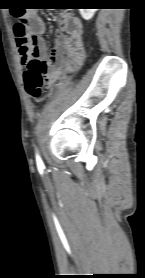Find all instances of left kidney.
Here are the masks:
<instances>
[{"mask_svg":"<svg viewBox=\"0 0 145 278\" xmlns=\"http://www.w3.org/2000/svg\"><path fill=\"white\" fill-rule=\"evenodd\" d=\"M79 11H80L81 16L85 20H89L94 16L97 9H79Z\"/></svg>","mask_w":145,"mask_h":278,"instance_id":"obj_1","label":"left kidney"}]
</instances>
